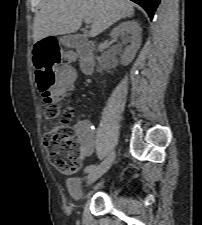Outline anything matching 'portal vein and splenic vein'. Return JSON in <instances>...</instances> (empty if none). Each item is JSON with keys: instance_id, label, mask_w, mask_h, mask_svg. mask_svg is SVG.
<instances>
[{"instance_id": "portal-vein-and-splenic-vein-1", "label": "portal vein and splenic vein", "mask_w": 202, "mask_h": 225, "mask_svg": "<svg viewBox=\"0 0 202 225\" xmlns=\"http://www.w3.org/2000/svg\"><path fill=\"white\" fill-rule=\"evenodd\" d=\"M84 20H85L86 24H90L91 23V19L90 18H85Z\"/></svg>"}]
</instances>
